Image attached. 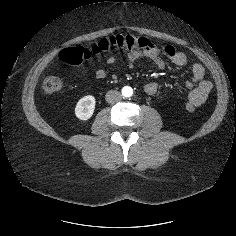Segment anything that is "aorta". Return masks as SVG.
I'll list each match as a JSON object with an SVG mask.
<instances>
[{"instance_id":"1","label":"aorta","mask_w":236,"mask_h":236,"mask_svg":"<svg viewBox=\"0 0 236 236\" xmlns=\"http://www.w3.org/2000/svg\"><path fill=\"white\" fill-rule=\"evenodd\" d=\"M122 94L124 97H130L133 94V89L129 86H125L122 89Z\"/></svg>"}]
</instances>
